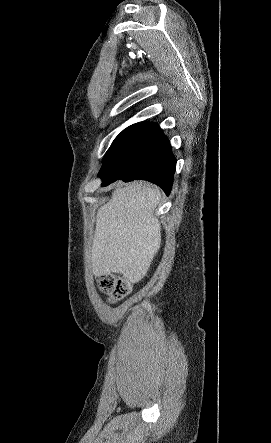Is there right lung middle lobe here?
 Wrapping results in <instances>:
<instances>
[{"instance_id": "obj_1", "label": "right lung middle lobe", "mask_w": 271, "mask_h": 443, "mask_svg": "<svg viewBox=\"0 0 271 443\" xmlns=\"http://www.w3.org/2000/svg\"><path fill=\"white\" fill-rule=\"evenodd\" d=\"M136 126H137V124L129 126L128 128L123 130L116 137V139L113 141V143L111 144L110 148L108 149V151L106 153V156H105V159H104V162H103L100 172H103L105 169H107L113 163V161L116 159L118 153L120 152L124 142L129 137V135L133 132V130L135 129Z\"/></svg>"}]
</instances>
